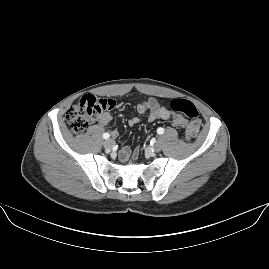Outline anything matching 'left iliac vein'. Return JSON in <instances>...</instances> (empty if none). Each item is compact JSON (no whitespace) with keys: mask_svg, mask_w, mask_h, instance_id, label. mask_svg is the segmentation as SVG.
<instances>
[{"mask_svg":"<svg viewBox=\"0 0 269 269\" xmlns=\"http://www.w3.org/2000/svg\"><path fill=\"white\" fill-rule=\"evenodd\" d=\"M156 152H159L161 151L162 149V144L161 142L158 140L152 147Z\"/></svg>","mask_w":269,"mask_h":269,"instance_id":"1","label":"left iliac vein"}]
</instances>
